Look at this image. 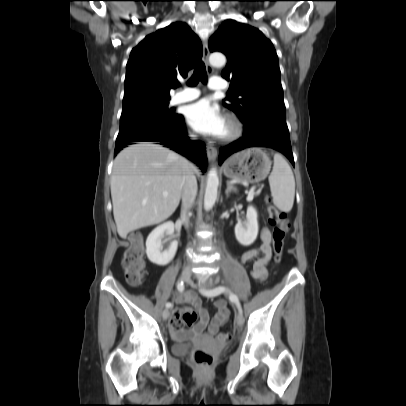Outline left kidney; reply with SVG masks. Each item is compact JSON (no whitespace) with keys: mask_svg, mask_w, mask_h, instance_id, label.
I'll return each mask as SVG.
<instances>
[{"mask_svg":"<svg viewBox=\"0 0 406 406\" xmlns=\"http://www.w3.org/2000/svg\"><path fill=\"white\" fill-rule=\"evenodd\" d=\"M258 231V214L256 209L250 205L247 208L246 219L235 226V237L241 245L249 246L256 240Z\"/></svg>","mask_w":406,"mask_h":406,"instance_id":"left-kidney-1","label":"left kidney"}]
</instances>
